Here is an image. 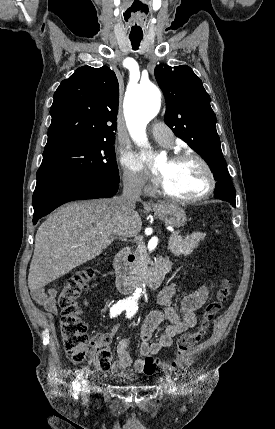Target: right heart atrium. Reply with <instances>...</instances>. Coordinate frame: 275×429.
<instances>
[{"instance_id": "1", "label": "right heart atrium", "mask_w": 275, "mask_h": 429, "mask_svg": "<svg viewBox=\"0 0 275 429\" xmlns=\"http://www.w3.org/2000/svg\"><path fill=\"white\" fill-rule=\"evenodd\" d=\"M122 178L125 187L131 191L140 192L147 188L143 178L129 169L124 170Z\"/></svg>"}]
</instances>
